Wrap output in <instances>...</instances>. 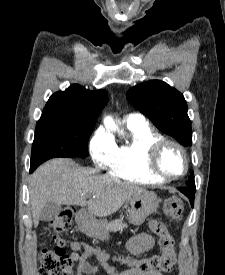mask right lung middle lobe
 Wrapping results in <instances>:
<instances>
[{"label": "right lung middle lobe", "mask_w": 225, "mask_h": 275, "mask_svg": "<svg viewBox=\"0 0 225 275\" xmlns=\"http://www.w3.org/2000/svg\"><path fill=\"white\" fill-rule=\"evenodd\" d=\"M94 125L65 119L39 120L32 145L30 172L50 158H85Z\"/></svg>", "instance_id": "obj_1"}]
</instances>
